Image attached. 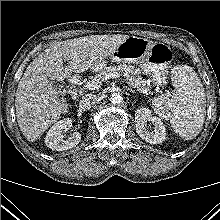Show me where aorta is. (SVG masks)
<instances>
[{
    "label": "aorta",
    "instance_id": "obj_1",
    "mask_svg": "<svg viewBox=\"0 0 220 220\" xmlns=\"http://www.w3.org/2000/svg\"><path fill=\"white\" fill-rule=\"evenodd\" d=\"M122 100H123V98H122V96L118 93H113L112 95H111V98H110V101H111V103L112 104H120L121 102H122Z\"/></svg>",
    "mask_w": 220,
    "mask_h": 220
}]
</instances>
